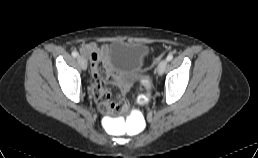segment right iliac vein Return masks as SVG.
<instances>
[{
    "label": "right iliac vein",
    "instance_id": "right-iliac-vein-1",
    "mask_svg": "<svg viewBox=\"0 0 258 158\" xmlns=\"http://www.w3.org/2000/svg\"><path fill=\"white\" fill-rule=\"evenodd\" d=\"M77 61L80 65V67L83 69V70H86L87 69V61L84 57L82 56H78L77 57Z\"/></svg>",
    "mask_w": 258,
    "mask_h": 158
}]
</instances>
